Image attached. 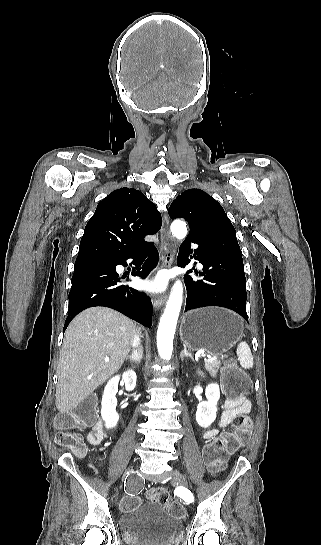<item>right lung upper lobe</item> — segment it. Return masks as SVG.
<instances>
[{
    "label": "right lung upper lobe",
    "instance_id": "cb5924a9",
    "mask_svg": "<svg viewBox=\"0 0 321 545\" xmlns=\"http://www.w3.org/2000/svg\"><path fill=\"white\" fill-rule=\"evenodd\" d=\"M162 220L156 206L140 191L120 188L97 206L82 236L76 265L114 261L136 251L155 234Z\"/></svg>",
    "mask_w": 321,
    "mask_h": 545
}]
</instances>
